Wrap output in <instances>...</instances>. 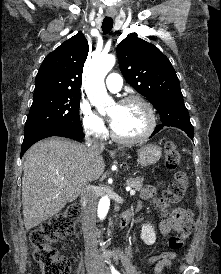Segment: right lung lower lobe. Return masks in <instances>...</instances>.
<instances>
[{"label":"right lung lower lobe","instance_id":"1","mask_svg":"<svg viewBox=\"0 0 221 274\" xmlns=\"http://www.w3.org/2000/svg\"><path fill=\"white\" fill-rule=\"evenodd\" d=\"M51 136H61L67 137L74 140H80L84 137L83 131H78L75 129H70L60 126H50L37 129L35 131L24 134V140L22 143L21 156L26 152L28 148L31 147L37 141L51 137Z\"/></svg>","mask_w":221,"mask_h":274}]
</instances>
